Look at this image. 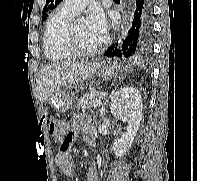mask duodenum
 Here are the masks:
<instances>
[{"label":"duodenum","instance_id":"410a0bca","mask_svg":"<svg viewBox=\"0 0 197 181\" xmlns=\"http://www.w3.org/2000/svg\"><path fill=\"white\" fill-rule=\"evenodd\" d=\"M86 140L88 141V143L93 146L95 144V139L93 136H89L86 138Z\"/></svg>","mask_w":197,"mask_h":181}]
</instances>
